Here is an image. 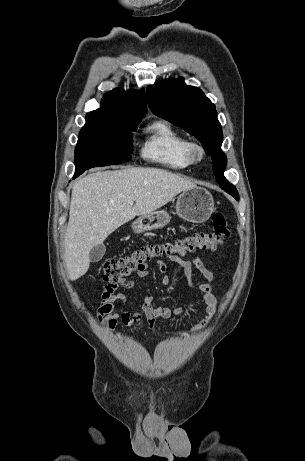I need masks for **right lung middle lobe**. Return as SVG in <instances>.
Returning <instances> with one entry per match:
<instances>
[{
	"mask_svg": "<svg viewBox=\"0 0 305 461\" xmlns=\"http://www.w3.org/2000/svg\"><path fill=\"white\" fill-rule=\"evenodd\" d=\"M139 122L86 117L75 149L76 170L128 161L133 151L131 131Z\"/></svg>",
	"mask_w": 305,
	"mask_h": 461,
	"instance_id": "dd1d6c3e",
	"label": "right lung middle lobe"
}]
</instances>
